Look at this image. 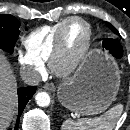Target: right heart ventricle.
<instances>
[{"label": "right heart ventricle", "mask_w": 130, "mask_h": 130, "mask_svg": "<svg viewBox=\"0 0 130 130\" xmlns=\"http://www.w3.org/2000/svg\"><path fill=\"white\" fill-rule=\"evenodd\" d=\"M68 19L61 20L53 25L39 27L26 35L22 42L27 53L43 63L49 60L58 32Z\"/></svg>", "instance_id": "1"}]
</instances>
